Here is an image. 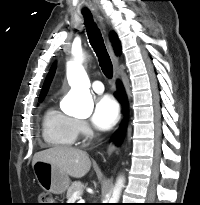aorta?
Listing matches in <instances>:
<instances>
[{"instance_id": "obj_1", "label": "aorta", "mask_w": 200, "mask_h": 205, "mask_svg": "<svg viewBox=\"0 0 200 205\" xmlns=\"http://www.w3.org/2000/svg\"><path fill=\"white\" fill-rule=\"evenodd\" d=\"M67 78L71 91L69 93V110L78 117H88L93 111V100L89 92L90 81L82 66V54L76 55L73 61L67 64ZM124 179L119 178L111 198V203H118Z\"/></svg>"}]
</instances>
